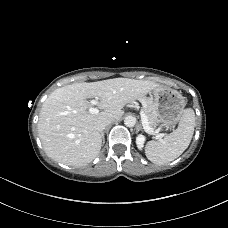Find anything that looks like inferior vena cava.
Segmentation results:
<instances>
[{
	"label": "inferior vena cava",
	"instance_id": "obj_1",
	"mask_svg": "<svg viewBox=\"0 0 228 228\" xmlns=\"http://www.w3.org/2000/svg\"><path fill=\"white\" fill-rule=\"evenodd\" d=\"M110 123H111V120L109 119L98 121L97 123H95V129L99 132H102L106 128V126H108Z\"/></svg>",
	"mask_w": 228,
	"mask_h": 228
}]
</instances>
